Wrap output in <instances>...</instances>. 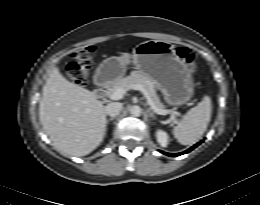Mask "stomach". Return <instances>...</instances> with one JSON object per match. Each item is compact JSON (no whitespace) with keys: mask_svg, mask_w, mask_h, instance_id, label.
Masks as SVG:
<instances>
[{"mask_svg":"<svg viewBox=\"0 0 260 205\" xmlns=\"http://www.w3.org/2000/svg\"><path fill=\"white\" fill-rule=\"evenodd\" d=\"M129 59L137 70L151 79L168 105L180 107L192 98L194 84L191 70L176 54L174 46L163 40L140 43L130 56L105 59L96 71V83L105 85L121 79Z\"/></svg>","mask_w":260,"mask_h":205,"instance_id":"obj_1","label":"stomach"}]
</instances>
